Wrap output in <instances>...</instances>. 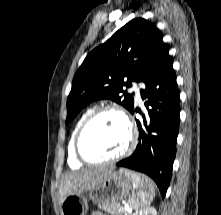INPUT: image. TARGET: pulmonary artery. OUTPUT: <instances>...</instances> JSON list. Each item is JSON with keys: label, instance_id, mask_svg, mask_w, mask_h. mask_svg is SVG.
Masks as SVG:
<instances>
[{"label": "pulmonary artery", "instance_id": "e3ab8cb5", "mask_svg": "<svg viewBox=\"0 0 221 215\" xmlns=\"http://www.w3.org/2000/svg\"><path fill=\"white\" fill-rule=\"evenodd\" d=\"M140 84H134L133 85V90L135 92V97L138 101L141 100V95H140Z\"/></svg>", "mask_w": 221, "mask_h": 215}]
</instances>
